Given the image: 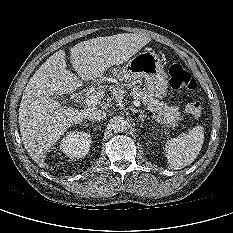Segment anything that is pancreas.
Instances as JSON below:
<instances>
[{
    "instance_id": "obj_1",
    "label": "pancreas",
    "mask_w": 233,
    "mask_h": 233,
    "mask_svg": "<svg viewBox=\"0 0 233 233\" xmlns=\"http://www.w3.org/2000/svg\"><path fill=\"white\" fill-rule=\"evenodd\" d=\"M125 87L131 89L134 99L141 101L148 110L156 112L159 117H162V122L167 126L174 127L181 119L178 106H168L160 102L149 92L143 91L139 86L119 84L111 86V89L116 92H121Z\"/></svg>"
}]
</instances>
